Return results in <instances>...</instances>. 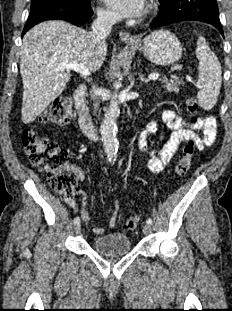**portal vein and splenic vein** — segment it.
<instances>
[{
	"label": "portal vein and splenic vein",
	"mask_w": 232,
	"mask_h": 311,
	"mask_svg": "<svg viewBox=\"0 0 232 311\" xmlns=\"http://www.w3.org/2000/svg\"><path fill=\"white\" fill-rule=\"evenodd\" d=\"M59 69H66L67 71L73 70L80 73L83 76H89V69L82 63L63 61L60 63ZM159 73H152L148 76L150 80H157L159 78Z\"/></svg>",
	"instance_id": "18ae733b"
}]
</instances>
